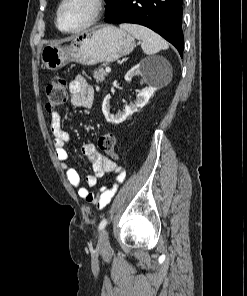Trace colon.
Instances as JSON below:
<instances>
[{"label": "colon", "mask_w": 247, "mask_h": 296, "mask_svg": "<svg viewBox=\"0 0 247 296\" xmlns=\"http://www.w3.org/2000/svg\"><path fill=\"white\" fill-rule=\"evenodd\" d=\"M46 109L51 112L61 107L67 100L66 80L61 76H56L46 87ZM99 149L108 157H117L116 139L111 133L102 134L98 140Z\"/></svg>", "instance_id": "colon-1"}]
</instances>
